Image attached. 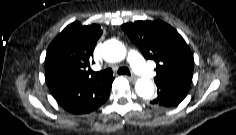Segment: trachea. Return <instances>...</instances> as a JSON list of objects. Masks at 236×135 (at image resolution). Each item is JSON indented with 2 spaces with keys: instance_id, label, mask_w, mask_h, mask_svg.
Here are the masks:
<instances>
[{
  "instance_id": "1",
  "label": "trachea",
  "mask_w": 236,
  "mask_h": 135,
  "mask_svg": "<svg viewBox=\"0 0 236 135\" xmlns=\"http://www.w3.org/2000/svg\"><path fill=\"white\" fill-rule=\"evenodd\" d=\"M118 74H124V75H130V71L126 67H121L118 69ZM93 76L101 77V78H107L111 77L113 75V71L111 68H107L100 72H92Z\"/></svg>"
}]
</instances>
